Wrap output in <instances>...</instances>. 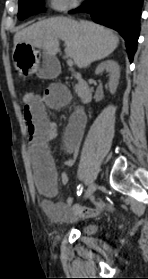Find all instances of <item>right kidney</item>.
I'll return each mask as SVG.
<instances>
[{
	"instance_id": "obj_1",
	"label": "right kidney",
	"mask_w": 148,
	"mask_h": 279,
	"mask_svg": "<svg viewBox=\"0 0 148 279\" xmlns=\"http://www.w3.org/2000/svg\"><path fill=\"white\" fill-rule=\"evenodd\" d=\"M103 71L110 73L109 90L110 93L114 94L119 84L120 67L116 61L107 60L98 65V67L95 70V73L100 74Z\"/></svg>"
}]
</instances>
